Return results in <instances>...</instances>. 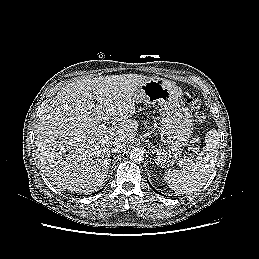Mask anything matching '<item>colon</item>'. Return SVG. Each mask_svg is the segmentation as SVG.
<instances>
[{"label": "colon", "mask_w": 259, "mask_h": 259, "mask_svg": "<svg viewBox=\"0 0 259 259\" xmlns=\"http://www.w3.org/2000/svg\"><path fill=\"white\" fill-rule=\"evenodd\" d=\"M188 102H189L190 106L194 110H196V112H195V121H196V123H198V124L203 123L204 120H205V115H204V113L202 111L199 110L200 106H201L200 99L197 98V97H191Z\"/></svg>", "instance_id": "colon-1"}]
</instances>
